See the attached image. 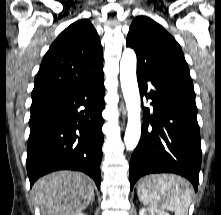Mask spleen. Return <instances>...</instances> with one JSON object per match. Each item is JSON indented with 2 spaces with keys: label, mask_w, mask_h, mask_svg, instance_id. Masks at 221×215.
Wrapping results in <instances>:
<instances>
[{
  "label": "spleen",
  "mask_w": 221,
  "mask_h": 215,
  "mask_svg": "<svg viewBox=\"0 0 221 215\" xmlns=\"http://www.w3.org/2000/svg\"><path fill=\"white\" fill-rule=\"evenodd\" d=\"M137 195L149 208L168 210L175 215H187L192 200L189 183L174 175L147 176L138 185Z\"/></svg>",
  "instance_id": "3e777b00"
}]
</instances>
